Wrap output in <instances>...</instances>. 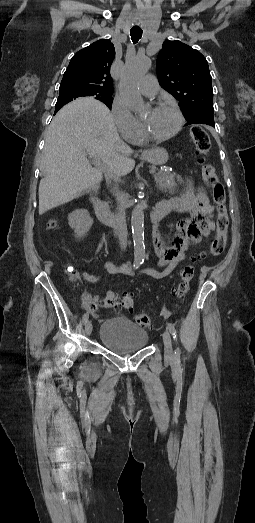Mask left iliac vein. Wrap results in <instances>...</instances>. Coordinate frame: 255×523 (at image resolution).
I'll list each match as a JSON object with an SVG mask.
<instances>
[{"label": "left iliac vein", "instance_id": "1", "mask_svg": "<svg viewBox=\"0 0 255 523\" xmlns=\"http://www.w3.org/2000/svg\"><path fill=\"white\" fill-rule=\"evenodd\" d=\"M163 342H164L165 358L167 360H172L174 357V352H173V348H172L171 336L168 331H165L163 333Z\"/></svg>", "mask_w": 255, "mask_h": 523}]
</instances>
